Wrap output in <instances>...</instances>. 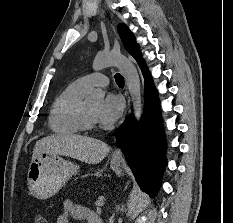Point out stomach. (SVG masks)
Listing matches in <instances>:
<instances>
[{"instance_id":"0dacf381","label":"stomach","mask_w":233,"mask_h":223,"mask_svg":"<svg viewBox=\"0 0 233 223\" xmlns=\"http://www.w3.org/2000/svg\"><path fill=\"white\" fill-rule=\"evenodd\" d=\"M111 167L118 175L122 173L120 159H111ZM78 171H80L78 163L64 159L57 153H39L29 165L27 173L29 191L37 199H49Z\"/></svg>"}]
</instances>
